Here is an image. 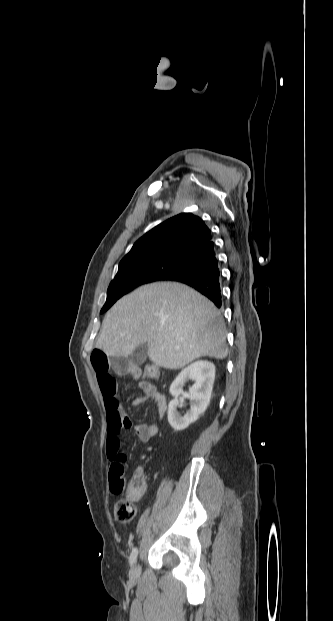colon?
Masks as SVG:
<instances>
[{"mask_svg":"<svg viewBox=\"0 0 333 621\" xmlns=\"http://www.w3.org/2000/svg\"><path fill=\"white\" fill-rule=\"evenodd\" d=\"M147 378L156 380L159 378V369L153 364H147L143 371ZM141 372L136 370L134 375ZM109 483L112 493L119 495L114 506V516L121 523L130 522L136 514L134 502L139 500L146 490L144 473L134 474L129 480L125 477V463L116 462L110 467Z\"/></svg>","mask_w":333,"mask_h":621,"instance_id":"colon-1","label":"colon"}]
</instances>
